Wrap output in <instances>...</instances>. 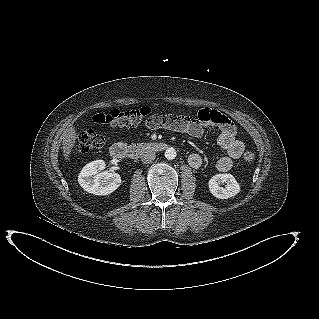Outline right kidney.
<instances>
[{"instance_id": "1", "label": "right kidney", "mask_w": 319, "mask_h": 319, "mask_svg": "<svg viewBox=\"0 0 319 319\" xmlns=\"http://www.w3.org/2000/svg\"><path fill=\"white\" fill-rule=\"evenodd\" d=\"M106 168L103 160H95L85 165L78 176L80 186L88 193L109 195L121 185V177L117 173L102 171Z\"/></svg>"}]
</instances>
